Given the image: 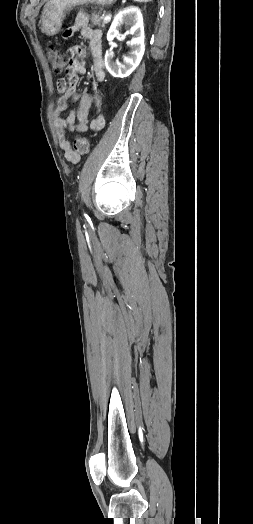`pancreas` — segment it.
<instances>
[{
    "label": "pancreas",
    "instance_id": "cf45deb5",
    "mask_svg": "<svg viewBox=\"0 0 253 524\" xmlns=\"http://www.w3.org/2000/svg\"><path fill=\"white\" fill-rule=\"evenodd\" d=\"M101 10L93 11L91 21L94 25L105 27L106 22H102Z\"/></svg>",
    "mask_w": 253,
    "mask_h": 524
}]
</instances>
